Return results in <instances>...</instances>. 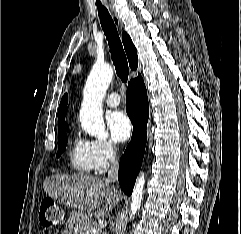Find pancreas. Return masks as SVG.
<instances>
[{"label":"pancreas","instance_id":"1","mask_svg":"<svg viewBox=\"0 0 241 234\" xmlns=\"http://www.w3.org/2000/svg\"><path fill=\"white\" fill-rule=\"evenodd\" d=\"M94 224H90L86 227L83 228V232L81 234H100V230L98 229L97 231H92V228L94 227Z\"/></svg>","mask_w":241,"mask_h":234}]
</instances>
